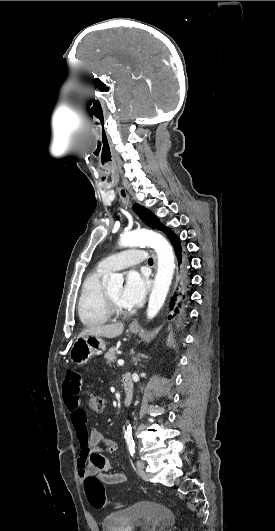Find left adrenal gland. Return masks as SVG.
<instances>
[{"instance_id": "1", "label": "left adrenal gland", "mask_w": 275, "mask_h": 531, "mask_svg": "<svg viewBox=\"0 0 275 531\" xmlns=\"http://www.w3.org/2000/svg\"><path fill=\"white\" fill-rule=\"evenodd\" d=\"M135 365H138V361H137V359H135Z\"/></svg>"}]
</instances>
